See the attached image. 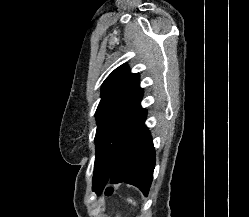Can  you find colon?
Segmentation results:
<instances>
[{
    "label": "colon",
    "mask_w": 249,
    "mask_h": 217,
    "mask_svg": "<svg viewBox=\"0 0 249 217\" xmlns=\"http://www.w3.org/2000/svg\"><path fill=\"white\" fill-rule=\"evenodd\" d=\"M105 193H106L107 196H112L114 191H113V189L108 188Z\"/></svg>",
    "instance_id": "1"
}]
</instances>
